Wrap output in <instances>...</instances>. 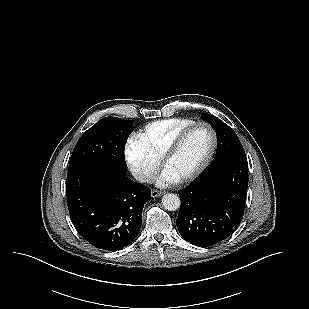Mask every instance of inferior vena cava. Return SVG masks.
<instances>
[{
	"instance_id": "602c4592",
	"label": "inferior vena cava",
	"mask_w": 309,
	"mask_h": 309,
	"mask_svg": "<svg viewBox=\"0 0 309 309\" xmlns=\"http://www.w3.org/2000/svg\"><path fill=\"white\" fill-rule=\"evenodd\" d=\"M133 176L136 180H138L139 182H143V183H148L151 180H153V176L146 174L144 172H141V171L134 172Z\"/></svg>"
}]
</instances>
